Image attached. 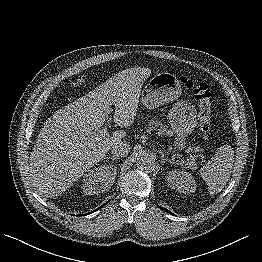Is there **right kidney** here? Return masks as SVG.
Listing matches in <instances>:
<instances>
[{
    "instance_id": "obj_1",
    "label": "right kidney",
    "mask_w": 262,
    "mask_h": 262,
    "mask_svg": "<svg viewBox=\"0 0 262 262\" xmlns=\"http://www.w3.org/2000/svg\"><path fill=\"white\" fill-rule=\"evenodd\" d=\"M116 169L113 166H102L88 171L84 175L83 191L86 195H94L108 191L114 183Z\"/></svg>"
}]
</instances>
